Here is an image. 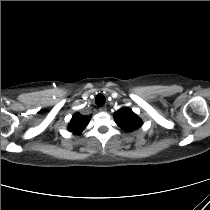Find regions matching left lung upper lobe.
Listing matches in <instances>:
<instances>
[{"mask_svg":"<svg viewBox=\"0 0 210 210\" xmlns=\"http://www.w3.org/2000/svg\"><path fill=\"white\" fill-rule=\"evenodd\" d=\"M114 118L119 127L123 130L132 132L142 125L141 119L128 107L119 109Z\"/></svg>","mask_w":210,"mask_h":210,"instance_id":"left-lung-upper-lobe-1","label":"left lung upper lobe"}]
</instances>
